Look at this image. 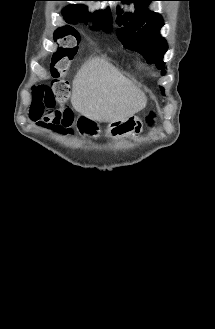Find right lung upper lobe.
Wrapping results in <instances>:
<instances>
[{
  "label": "right lung upper lobe",
  "instance_id": "obj_1",
  "mask_svg": "<svg viewBox=\"0 0 215 329\" xmlns=\"http://www.w3.org/2000/svg\"><path fill=\"white\" fill-rule=\"evenodd\" d=\"M63 16L68 22L74 20L76 17H79L86 23L88 20L95 21V25L93 26L94 28H101L105 31H109L111 29L112 17L109 9L106 11H97L94 14H89L86 6L84 5H70L63 10ZM65 28L69 29L70 27Z\"/></svg>",
  "mask_w": 215,
  "mask_h": 329
}]
</instances>
